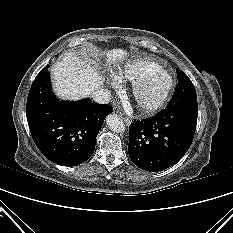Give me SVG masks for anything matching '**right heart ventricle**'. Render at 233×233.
Returning <instances> with one entry per match:
<instances>
[{
	"label": "right heart ventricle",
	"instance_id": "e07e8e85",
	"mask_svg": "<svg viewBox=\"0 0 233 233\" xmlns=\"http://www.w3.org/2000/svg\"><path fill=\"white\" fill-rule=\"evenodd\" d=\"M162 68V66L151 59H139L126 63L118 71L120 81L136 82L151 70Z\"/></svg>",
	"mask_w": 233,
	"mask_h": 233
}]
</instances>
